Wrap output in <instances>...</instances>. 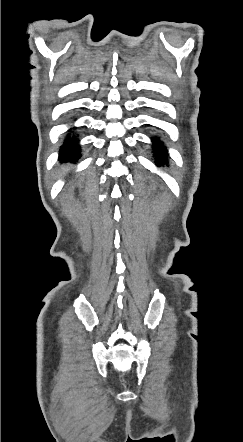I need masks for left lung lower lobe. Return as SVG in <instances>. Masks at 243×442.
<instances>
[{
	"instance_id": "obj_1",
	"label": "left lung lower lobe",
	"mask_w": 243,
	"mask_h": 442,
	"mask_svg": "<svg viewBox=\"0 0 243 442\" xmlns=\"http://www.w3.org/2000/svg\"><path fill=\"white\" fill-rule=\"evenodd\" d=\"M153 144H154L156 150H158L159 154H160L159 157L156 156L157 159L161 158V159L165 160L167 158V154H166L167 151H166V148L164 147L163 143L159 140L158 137L153 138Z\"/></svg>"
}]
</instances>
